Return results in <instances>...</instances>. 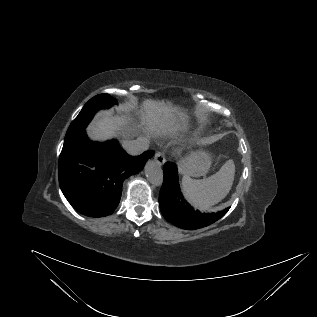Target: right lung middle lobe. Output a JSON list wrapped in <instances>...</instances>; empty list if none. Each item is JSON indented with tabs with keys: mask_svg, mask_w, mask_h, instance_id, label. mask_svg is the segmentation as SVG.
Instances as JSON below:
<instances>
[{
	"mask_svg": "<svg viewBox=\"0 0 317 317\" xmlns=\"http://www.w3.org/2000/svg\"><path fill=\"white\" fill-rule=\"evenodd\" d=\"M116 103L117 101L109 94H100L90 99L71 123L66 133L64 143L72 139L82 129H85L97 110L109 108Z\"/></svg>",
	"mask_w": 317,
	"mask_h": 317,
	"instance_id": "dd1d6c3e",
	"label": "right lung middle lobe"
}]
</instances>
